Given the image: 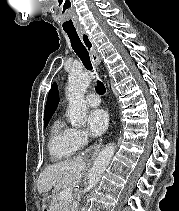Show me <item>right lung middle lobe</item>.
Masks as SVG:
<instances>
[{"instance_id":"obj_1","label":"right lung middle lobe","mask_w":179,"mask_h":211,"mask_svg":"<svg viewBox=\"0 0 179 211\" xmlns=\"http://www.w3.org/2000/svg\"><path fill=\"white\" fill-rule=\"evenodd\" d=\"M50 118H45L44 119V127H47L48 123H49Z\"/></svg>"}]
</instances>
